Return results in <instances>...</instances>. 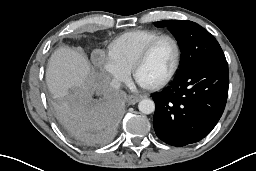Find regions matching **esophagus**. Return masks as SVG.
Masks as SVG:
<instances>
[{
    "mask_svg": "<svg viewBox=\"0 0 256 171\" xmlns=\"http://www.w3.org/2000/svg\"><path fill=\"white\" fill-rule=\"evenodd\" d=\"M140 98L138 96L130 95L127 97L126 101L128 104L133 105L136 104Z\"/></svg>",
    "mask_w": 256,
    "mask_h": 171,
    "instance_id": "esophagus-1",
    "label": "esophagus"
}]
</instances>
